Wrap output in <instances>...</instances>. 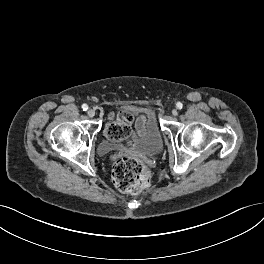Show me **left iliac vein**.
<instances>
[{"label": "left iliac vein", "instance_id": "1", "mask_svg": "<svg viewBox=\"0 0 264 264\" xmlns=\"http://www.w3.org/2000/svg\"><path fill=\"white\" fill-rule=\"evenodd\" d=\"M178 114H179L178 110L174 109V110L172 111V115H173V116H177Z\"/></svg>", "mask_w": 264, "mask_h": 264}]
</instances>
